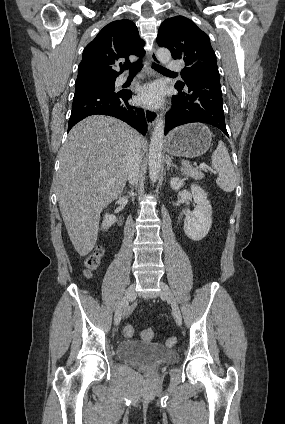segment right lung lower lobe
<instances>
[{
  "label": "right lung lower lobe",
  "mask_w": 285,
  "mask_h": 424,
  "mask_svg": "<svg viewBox=\"0 0 285 424\" xmlns=\"http://www.w3.org/2000/svg\"><path fill=\"white\" fill-rule=\"evenodd\" d=\"M131 91L84 89L75 91L68 131L80 120L90 115L102 114L116 117L143 135L147 132L145 114L141 108L128 103Z\"/></svg>",
  "instance_id": "obj_1"
}]
</instances>
